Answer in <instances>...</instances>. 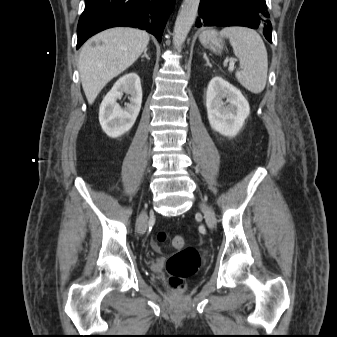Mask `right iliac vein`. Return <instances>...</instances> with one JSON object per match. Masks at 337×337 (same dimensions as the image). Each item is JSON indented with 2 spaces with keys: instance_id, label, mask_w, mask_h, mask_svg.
Wrapping results in <instances>:
<instances>
[{
  "instance_id": "right-iliac-vein-1",
  "label": "right iliac vein",
  "mask_w": 337,
  "mask_h": 337,
  "mask_svg": "<svg viewBox=\"0 0 337 337\" xmlns=\"http://www.w3.org/2000/svg\"><path fill=\"white\" fill-rule=\"evenodd\" d=\"M147 219L146 212L142 211L137 221V231L140 234H143L147 228Z\"/></svg>"
}]
</instances>
